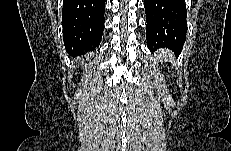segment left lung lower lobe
Listing matches in <instances>:
<instances>
[{"label":"left lung lower lobe","mask_w":231,"mask_h":151,"mask_svg":"<svg viewBox=\"0 0 231 151\" xmlns=\"http://www.w3.org/2000/svg\"><path fill=\"white\" fill-rule=\"evenodd\" d=\"M146 39L150 50L168 48L180 53L186 38L184 0H144Z\"/></svg>","instance_id":"obj_1"}]
</instances>
